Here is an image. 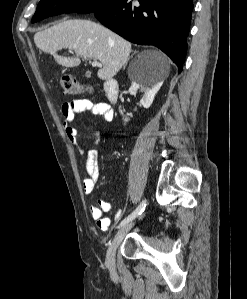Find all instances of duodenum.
<instances>
[{
	"mask_svg": "<svg viewBox=\"0 0 247 299\" xmlns=\"http://www.w3.org/2000/svg\"><path fill=\"white\" fill-rule=\"evenodd\" d=\"M104 91L110 103L117 102L119 97V84L116 80L110 79L104 83Z\"/></svg>",
	"mask_w": 247,
	"mask_h": 299,
	"instance_id": "410a0bca",
	"label": "duodenum"
}]
</instances>
